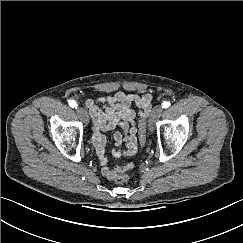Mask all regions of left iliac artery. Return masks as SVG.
Wrapping results in <instances>:
<instances>
[{
    "label": "left iliac artery",
    "instance_id": "1",
    "mask_svg": "<svg viewBox=\"0 0 243 243\" xmlns=\"http://www.w3.org/2000/svg\"><path fill=\"white\" fill-rule=\"evenodd\" d=\"M163 108H168L170 106V102L169 101H164L163 104H162Z\"/></svg>",
    "mask_w": 243,
    "mask_h": 243
}]
</instances>
